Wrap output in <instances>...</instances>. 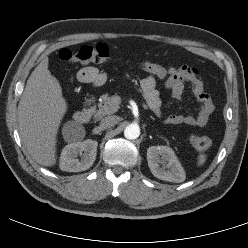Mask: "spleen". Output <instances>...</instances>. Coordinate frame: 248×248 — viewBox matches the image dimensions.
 Masks as SVG:
<instances>
[{
    "label": "spleen",
    "mask_w": 248,
    "mask_h": 248,
    "mask_svg": "<svg viewBox=\"0 0 248 248\" xmlns=\"http://www.w3.org/2000/svg\"><path fill=\"white\" fill-rule=\"evenodd\" d=\"M206 161V155L205 154H200L198 156V166H202Z\"/></svg>",
    "instance_id": "obj_1"
}]
</instances>
